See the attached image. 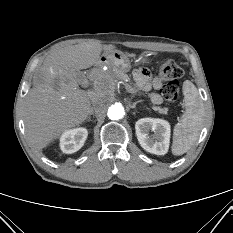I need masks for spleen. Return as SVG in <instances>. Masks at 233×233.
Listing matches in <instances>:
<instances>
[{"label": "spleen", "instance_id": "obj_1", "mask_svg": "<svg viewBox=\"0 0 233 233\" xmlns=\"http://www.w3.org/2000/svg\"><path fill=\"white\" fill-rule=\"evenodd\" d=\"M185 113L173 131L172 153L182 155L197 141L203 126V104L196 86L189 80L183 83Z\"/></svg>", "mask_w": 233, "mask_h": 233}]
</instances>
